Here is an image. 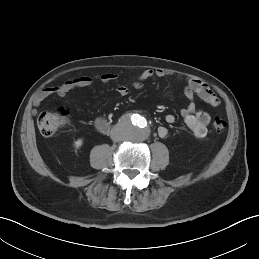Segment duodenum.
<instances>
[{
  "label": "duodenum",
  "mask_w": 259,
  "mask_h": 259,
  "mask_svg": "<svg viewBox=\"0 0 259 259\" xmlns=\"http://www.w3.org/2000/svg\"><path fill=\"white\" fill-rule=\"evenodd\" d=\"M96 128L100 132H107L110 128L108 122L100 120L96 123Z\"/></svg>",
  "instance_id": "duodenum-1"
}]
</instances>
